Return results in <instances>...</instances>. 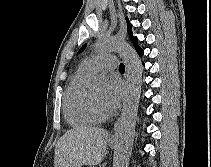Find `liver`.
Returning a JSON list of instances; mask_svg holds the SVG:
<instances>
[{"label": "liver", "mask_w": 211, "mask_h": 167, "mask_svg": "<svg viewBox=\"0 0 211 167\" xmlns=\"http://www.w3.org/2000/svg\"><path fill=\"white\" fill-rule=\"evenodd\" d=\"M108 131L95 127L68 130L55 147L54 167L97 165L105 156Z\"/></svg>", "instance_id": "obj_1"}]
</instances>
